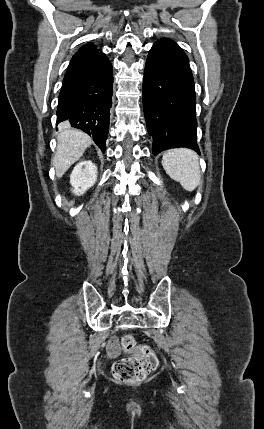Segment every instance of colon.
I'll use <instances>...</instances> for the list:
<instances>
[{
	"label": "colon",
	"mask_w": 264,
	"mask_h": 429,
	"mask_svg": "<svg viewBox=\"0 0 264 429\" xmlns=\"http://www.w3.org/2000/svg\"><path fill=\"white\" fill-rule=\"evenodd\" d=\"M124 352L131 356L116 361L113 365V376L124 383H138L144 380L158 364L155 353L145 345L137 343L133 335H125L121 340Z\"/></svg>",
	"instance_id": "colon-1"
}]
</instances>
